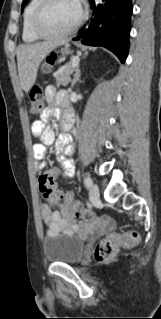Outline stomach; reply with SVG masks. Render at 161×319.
<instances>
[{
	"instance_id": "0dacf381",
	"label": "stomach",
	"mask_w": 161,
	"mask_h": 319,
	"mask_svg": "<svg viewBox=\"0 0 161 319\" xmlns=\"http://www.w3.org/2000/svg\"><path fill=\"white\" fill-rule=\"evenodd\" d=\"M62 53L68 54V53H69V50H68L67 48H64V49H62Z\"/></svg>"
}]
</instances>
